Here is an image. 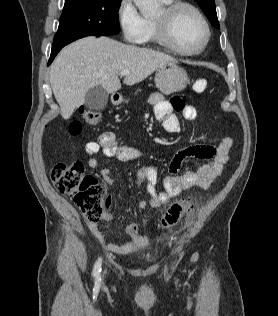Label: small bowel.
<instances>
[{
	"instance_id": "c3829d8e",
	"label": "small bowel",
	"mask_w": 278,
	"mask_h": 316,
	"mask_svg": "<svg viewBox=\"0 0 278 316\" xmlns=\"http://www.w3.org/2000/svg\"><path fill=\"white\" fill-rule=\"evenodd\" d=\"M149 100L153 105L155 117L169 133H179L181 131L179 119L175 114L176 112H181L183 117L189 121L197 117L196 108L193 105H186L179 97H174L172 100H165L161 94L153 93ZM232 145L233 139L229 136H224L216 146L192 145L177 151L171 158L168 174L163 180V192H158L156 188L158 183L156 168L148 165L140 166L136 171V177L140 182L147 181L146 189L149 199L141 200L137 207L144 209L150 206L154 209H159L167 204L171 198L193 187L208 188L215 178L222 173L223 167L228 161ZM85 152L89 157L88 166L90 168L98 166L95 156L99 152H102L106 157L115 158L120 162L136 160L142 155V152L138 148L120 145L117 142L116 136L111 132L101 134L97 141L86 143ZM189 158H197L206 162L195 170L180 173L183 163ZM101 176L108 185L113 183L108 168L101 170ZM102 218L107 223L111 222L114 218L110 197H107L105 200ZM88 227L99 243L113 253L122 255L130 254L149 243L148 237L140 234V224L138 223H130L126 226L125 232L128 236V241L121 245L108 242L97 224L89 223Z\"/></svg>"
}]
</instances>
